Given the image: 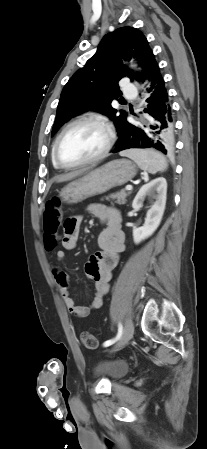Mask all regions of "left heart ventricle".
<instances>
[{"label": "left heart ventricle", "mask_w": 207, "mask_h": 449, "mask_svg": "<svg viewBox=\"0 0 207 449\" xmlns=\"http://www.w3.org/2000/svg\"><path fill=\"white\" fill-rule=\"evenodd\" d=\"M106 144L105 132L94 125L72 127L62 138L59 156L66 163H77L98 155Z\"/></svg>", "instance_id": "obj_1"}]
</instances>
